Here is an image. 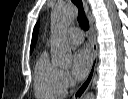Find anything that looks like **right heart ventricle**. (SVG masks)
Masks as SVG:
<instances>
[{
    "instance_id": "e07e8e85",
    "label": "right heart ventricle",
    "mask_w": 128,
    "mask_h": 99,
    "mask_svg": "<svg viewBox=\"0 0 128 99\" xmlns=\"http://www.w3.org/2000/svg\"><path fill=\"white\" fill-rule=\"evenodd\" d=\"M34 91L38 99H60L66 88L62 81V70L53 64L43 52L35 66Z\"/></svg>"
}]
</instances>
